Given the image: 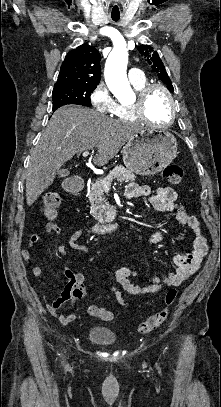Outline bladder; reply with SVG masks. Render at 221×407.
<instances>
[{
    "label": "bladder",
    "mask_w": 221,
    "mask_h": 407,
    "mask_svg": "<svg viewBox=\"0 0 221 407\" xmlns=\"http://www.w3.org/2000/svg\"><path fill=\"white\" fill-rule=\"evenodd\" d=\"M87 338L103 346H111L116 343V333L109 327L93 326L87 332Z\"/></svg>",
    "instance_id": "31cf9c89"
}]
</instances>
